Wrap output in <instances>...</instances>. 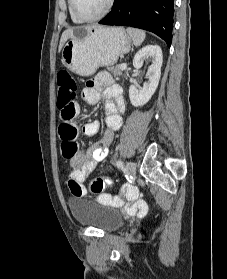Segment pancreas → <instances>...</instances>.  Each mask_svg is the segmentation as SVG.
<instances>
[{"label": "pancreas", "mask_w": 227, "mask_h": 279, "mask_svg": "<svg viewBox=\"0 0 227 279\" xmlns=\"http://www.w3.org/2000/svg\"><path fill=\"white\" fill-rule=\"evenodd\" d=\"M108 70L111 71L116 77L121 76L123 72V70L120 68V65H116L115 67H108Z\"/></svg>", "instance_id": "pancreas-1"}]
</instances>
